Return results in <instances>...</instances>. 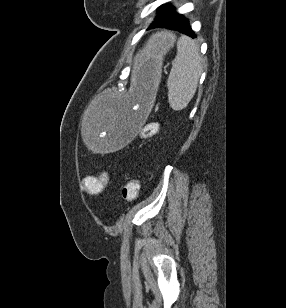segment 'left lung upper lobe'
I'll return each instance as SVG.
<instances>
[{
  "label": "left lung upper lobe",
  "instance_id": "left-lung-upper-lobe-1",
  "mask_svg": "<svg viewBox=\"0 0 286 308\" xmlns=\"http://www.w3.org/2000/svg\"><path fill=\"white\" fill-rule=\"evenodd\" d=\"M167 6H169V5H162V6H160L159 8H158V11L160 12V11H162L164 8H166Z\"/></svg>",
  "mask_w": 286,
  "mask_h": 308
}]
</instances>
